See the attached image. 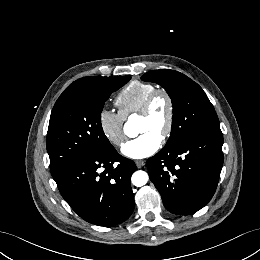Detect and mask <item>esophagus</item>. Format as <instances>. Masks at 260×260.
Returning a JSON list of instances; mask_svg holds the SVG:
<instances>
[{"label":"esophagus","instance_id":"obj_1","mask_svg":"<svg viewBox=\"0 0 260 260\" xmlns=\"http://www.w3.org/2000/svg\"><path fill=\"white\" fill-rule=\"evenodd\" d=\"M135 164H136L137 168H142L145 165V161H143V160H136Z\"/></svg>","mask_w":260,"mask_h":260}]
</instances>
